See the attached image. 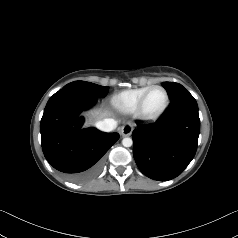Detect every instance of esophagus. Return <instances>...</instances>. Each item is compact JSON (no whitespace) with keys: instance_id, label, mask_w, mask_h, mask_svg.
Segmentation results:
<instances>
[{"instance_id":"esophagus-1","label":"esophagus","mask_w":238,"mask_h":238,"mask_svg":"<svg viewBox=\"0 0 238 238\" xmlns=\"http://www.w3.org/2000/svg\"><path fill=\"white\" fill-rule=\"evenodd\" d=\"M133 131V126L131 124L124 125L120 132L122 136H130Z\"/></svg>"}]
</instances>
